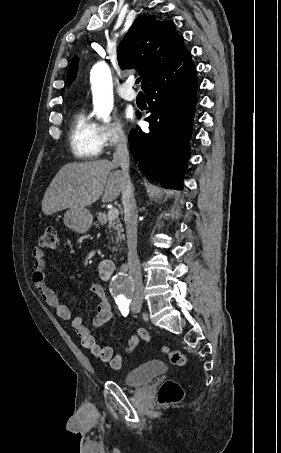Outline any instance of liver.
Wrapping results in <instances>:
<instances>
[{"label": "liver", "instance_id": "1", "mask_svg": "<svg viewBox=\"0 0 281 453\" xmlns=\"http://www.w3.org/2000/svg\"><path fill=\"white\" fill-rule=\"evenodd\" d=\"M117 162L89 160L68 162L50 182L42 200L44 214H54L64 208H84L102 196V202H111L119 196L123 176Z\"/></svg>", "mask_w": 281, "mask_h": 453}]
</instances>
